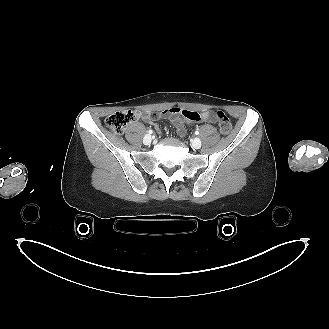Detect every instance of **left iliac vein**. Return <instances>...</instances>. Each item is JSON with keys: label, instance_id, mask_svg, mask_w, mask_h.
Here are the masks:
<instances>
[{"label": "left iliac vein", "instance_id": "4c4485c4", "mask_svg": "<svg viewBox=\"0 0 329 329\" xmlns=\"http://www.w3.org/2000/svg\"><path fill=\"white\" fill-rule=\"evenodd\" d=\"M202 143H201V140L199 138H195L193 141H192V146L195 148V149H199L201 147Z\"/></svg>", "mask_w": 329, "mask_h": 329}]
</instances>
